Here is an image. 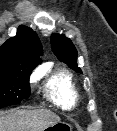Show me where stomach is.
Listing matches in <instances>:
<instances>
[{
	"label": "stomach",
	"instance_id": "1",
	"mask_svg": "<svg viewBox=\"0 0 117 131\" xmlns=\"http://www.w3.org/2000/svg\"><path fill=\"white\" fill-rule=\"evenodd\" d=\"M44 130L46 131H72V126L67 122L58 121Z\"/></svg>",
	"mask_w": 117,
	"mask_h": 131
}]
</instances>
